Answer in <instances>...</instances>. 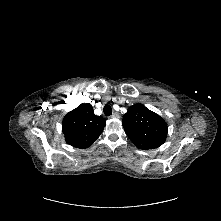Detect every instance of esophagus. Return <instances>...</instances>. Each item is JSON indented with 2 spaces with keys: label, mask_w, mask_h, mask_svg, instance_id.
I'll use <instances>...</instances> for the list:
<instances>
[{
  "label": "esophagus",
  "mask_w": 221,
  "mask_h": 221,
  "mask_svg": "<svg viewBox=\"0 0 221 221\" xmlns=\"http://www.w3.org/2000/svg\"><path fill=\"white\" fill-rule=\"evenodd\" d=\"M111 118H119V114L117 112H114L112 115H111Z\"/></svg>",
  "instance_id": "esophagus-1"
}]
</instances>
